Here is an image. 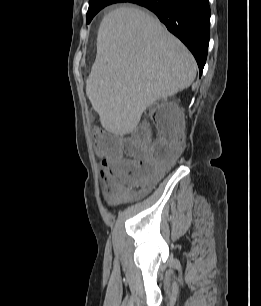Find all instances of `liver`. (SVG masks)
<instances>
[{
  "instance_id": "obj_1",
  "label": "liver",
  "mask_w": 261,
  "mask_h": 306,
  "mask_svg": "<svg viewBox=\"0 0 261 306\" xmlns=\"http://www.w3.org/2000/svg\"><path fill=\"white\" fill-rule=\"evenodd\" d=\"M196 70L192 54L156 18L120 7L99 26L86 95L103 128L125 135L150 105L188 88Z\"/></svg>"
}]
</instances>
